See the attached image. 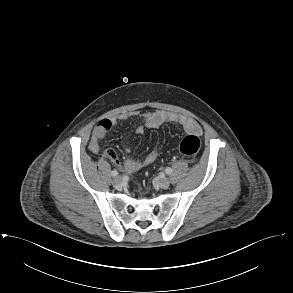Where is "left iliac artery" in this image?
I'll list each match as a JSON object with an SVG mask.
<instances>
[{
	"label": "left iliac artery",
	"mask_w": 293,
	"mask_h": 293,
	"mask_svg": "<svg viewBox=\"0 0 293 293\" xmlns=\"http://www.w3.org/2000/svg\"><path fill=\"white\" fill-rule=\"evenodd\" d=\"M165 172H166V174L170 175V174H172V169L168 167L165 169Z\"/></svg>",
	"instance_id": "obj_1"
}]
</instances>
